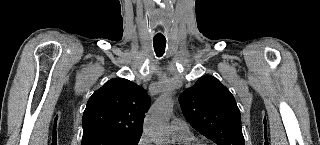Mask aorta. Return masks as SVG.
Segmentation results:
<instances>
[{"instance_id":"1","label":"aorta","mask_w":320,"mask_h":145,"mask_svg":"<svg viewBox=\"0 0 320 145\" xmlns=\"http://www.w3.org/2000/svg\"><path fill=\"white\" fill-rule=\"evenodd\" d=\"M172 108L171 93L167 92L152 105L145 118L144 132L158 145L168 142V118Z\"/></svg>"}]
</instances>
